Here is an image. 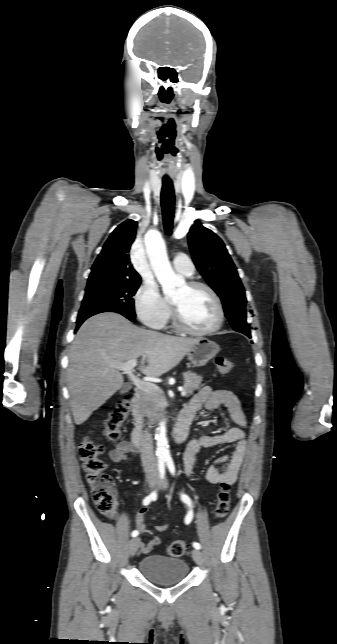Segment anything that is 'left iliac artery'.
Instances as JSON below:
<instances>
[{"instance_id":"1","label":"left iliac artery","mask_w":337,"mask_h":644,"mask_svg":"<svg viewBox=\"0 0 337 644\" xmlns=\"http://www.w3.org/2000/svg\"><path fill=\"white\" fill-rule=\"evenodd\" d=\"M165 461L167 463V466H168V469H169L170 473L172 475H175V465H174L173 460L170 457H168ZM181 500L184 503H186L190 508L188 514L185 517V524H189L192 521V518H193L192 500L188 495H186L184 493H181ZM192 545H193V547L195 549H201V545L199 543H197V542H194Z\"/></svg>"}]
</instances>
